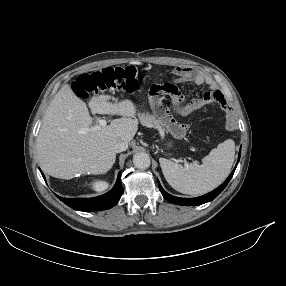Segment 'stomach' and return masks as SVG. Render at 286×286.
<instances>
[{
	"mask_svg": "<svg viewBox=\"0 0 286 286\" xmlns=\"http://www.w3.org/2000/svg\"><path fill=\"white\" fill-rule=\"evenodd\" d=\"M172 133V132H171ZM173 134V133H172ZM174 135V134H173ZM172 146V144L171 143H168V147H171Z\"/></svg>",
	"mask_w": 286,
	"mask_h": 286,
	"instance_id": "stomach-1",
	"label": "stomach"
}]
</instances>
